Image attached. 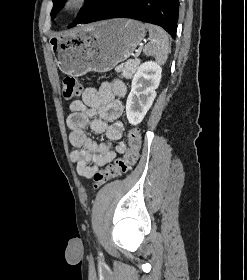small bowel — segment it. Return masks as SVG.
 Returning a JSON list of instances; mask_svg holds the SVG:
<instances>
[{"instance_id":"obj_1","label":"small bowel","mask_w":247,"mask_h":280,"mask_svg":"<svg viewBox=\"0 0 247 280\" xmlns=\"http://www.w3.org/2000/svg\"><path fill=\"white\" fill-rule=\"evenodd\" d=\"M126 92V85L121 80L103 82L98 88L85 89L80 100L70 103L67 126L71 130L69 141L75 147L71 160L76 163L79 175L93 178L117 153L124 151V143H116L123 138L125 130L119 118L123 113L120 99ZM88 128L96 134H105L106 141H93L86 134Z\"/></svg>"}]
</instances>
